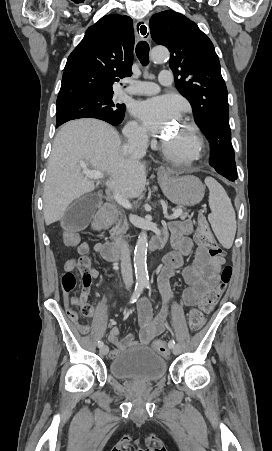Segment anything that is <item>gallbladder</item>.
Instances as JSON below:
<instances>
[{
    "label": "gallbladder",
    "mask_w": 272,
    "mask_h": 451,
    "mask_svg": "<svg viewBox=\"0 0 272 451\" xmlns=\"http://www.w3.org/2000/svg\"><path fill=\"white\" fill-rule=\"evenodd\" d=\"M100 204H102L101 198H98L97 194H87L83 198H78L67 208L61 220V226L72 231L84 229L91 222Z\"/></svg>",
    "instance_id": "obj_1"
}]
</instances>
